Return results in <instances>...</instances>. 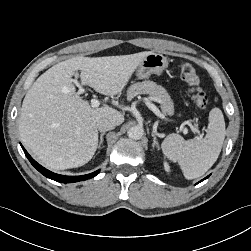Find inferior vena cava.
I'll list each match as a JSON object with an SVG mask.
<instances>
[{"mask_svg": "<svg viewBox=\"0 0 251 251\" xmlns=\"http://www.w3.org/2000/svg\"><path fill=\"white\" fill-rule=\"evenodd\" d=\"M96 126L100 132H105L114 129L116 123L108 118L103 117L97 120Z\"/></svg>", "mask_w": 251, "mask_h": 251, "instance_id": "602c4592", "label": "inferior vena cava"}]
</instances>
